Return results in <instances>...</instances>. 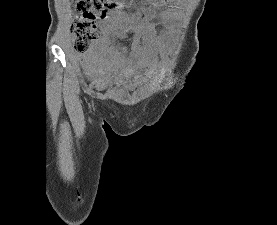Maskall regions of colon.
<instances>
[{"instance_id": "1", "label": "colon", "mask_w": 277, "mask_h": 225, "mask_svg": "<svg viewBox=\"0 0 277 225\" xmlns=\"http://www.w3.org/2000/svg\"><path fill=\"white\" fill-rule=\"evenodd\" d=\"M75 14L72 17L71 32L73 47L79 54L88 53L99 38L96 18L106 17L117 6L113 0H73Z\"/></svg>"}]
</instances>
